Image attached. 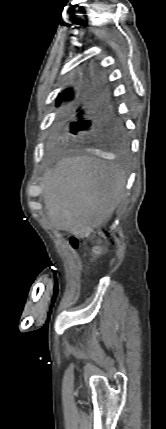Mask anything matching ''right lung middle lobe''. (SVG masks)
<instances>
[{
	"mask_svg": "<svg viewBox=\"0 0 166 429\" xmlns=\"http://www.w3.org/2000/svg\"><path fill=\"white\" fill-rule=\"evenodd\" d=\"M77 92H73L72 89H67L64 93H61L57 97V106L61 104L62 101H74L76 99ZM112 146L117 148L126 147V133L123 128H118L114 130L107 138V140Z\"/></svg>",
	"mask_w": 166,
	"mask_h": 429,
	"instance_id": "dd1d6c3e",
	"label": "right lung middle lobe"
}]
</instances>
